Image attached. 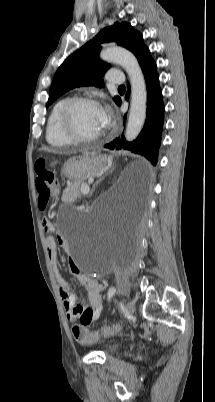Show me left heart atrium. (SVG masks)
<instances>
[{
    "label": "left heart atrium",
    "instance_id": "obj_1",
    "mask_svg": "<svg viewBox=\"0 0 215 402\" xmlns=\"http://www.w3.org/2000/svg\"><path fill=\"white\" fill-rule=\"evenodd\" d=\"M102 122L105 128L108 127L111 122L110 115L105 110H102Z\"/></svg>",
    "mask_w": 215,
    "mask_h": 402
}]
</instances>
